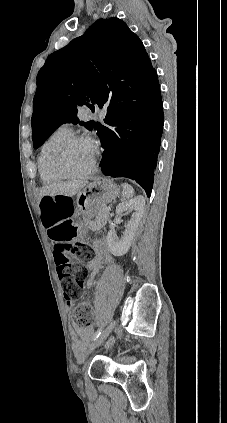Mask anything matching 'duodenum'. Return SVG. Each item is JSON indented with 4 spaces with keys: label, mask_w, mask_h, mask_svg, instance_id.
I'll list each match as a JSON object with an SVG mask.
<instances>
[{
    "label": "duodenum",
    "mask_w": 227,
    "mask_h": 423,
    "mask_svg": "<svg viewBox=\"0 0 227 423\" xmlns=\"http://www.w3.org/2000/svg\"><path fill=\"white\" fill-rule=\"evenodd\" d=\"M95 247H96V250L100 249L102 251H105L106 245H105V243L102 240H98L95 243Z\"/></svg>",
    "instance_id": "duodenum-1"
}]
</instances>
